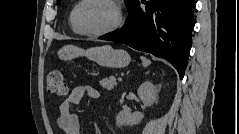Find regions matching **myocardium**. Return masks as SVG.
Instances as JSON below:
<instances>
[{
	"label": "myocardium",
	"mask_w": 239,
	"mask_h": 134,
	"mask_svg": "<svg viewBox=\"0 0 239 134\" xmlns=\"http://www.w3.org/2000/svg\"><path fill=\"white\" fill-rule=\"evenodd\" d=\"M88 1H91V0L80 1L74 11L73 23H74L75 28L81 35L91 36V37L104 36V35L114 32L121 26L122 21H123V14H122V11H121L119 5L117 4V2L113 1V0H102V1L107 2L114 9L115 20H114L113 24L111 26H109L108 28L100 30V31H87L84 28H82V26L80 24V12H81L83 5Z\"/></svg>",
	"instance_id": "myocardium-1"
}]
</instances>
